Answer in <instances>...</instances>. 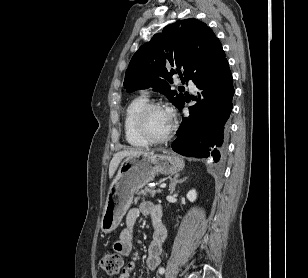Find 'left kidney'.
Listing matches in <instances>:
<instances>
[{
	"instance_id": "left-kidney-1",
	"label": "left kidney",
	"mask_w": 308,
	"mask_h": 278,
	"mask_svg": "<svg viewBox=\"0 0 308 278\" xmlns=\"http://www.w3.org/2000/svg\"><path fill=\"white\" fill-rule=\"evenodd\" d=\"M197 198V193H196V190L195 189H192L190 190L188 193H187V199L190 201V202H194Z\"/></svg>"
}]
</instances>
